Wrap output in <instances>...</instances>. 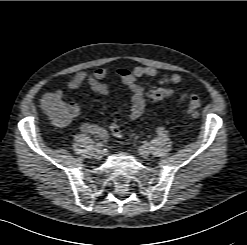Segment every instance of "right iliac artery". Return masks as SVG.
Wrapping results in <instances>:
<instances>
[{
    "label": "right iliac artery",
    "mask_w": 247,
    "mask_h": 245,
    "mask_svg": "<svg viewBox=\"0 0 247 245\" xmlns=\"http://www.w3.org/2000/svg\"><path fill=\"white\" fill-rule=\"evenodd\" d=\"M102 147H103V143L102 142H98V143H96L95 150H99Z\"/></svg>",
    "instance_id": "right-iliac-artery-1"
}]
</instances>
